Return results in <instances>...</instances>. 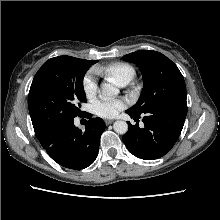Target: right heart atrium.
I'll return each instance as SVG.
<instances>
[{"instance_id":"1","label":"right heart atrium","mask_w":220,"mask_h":220,"mask_svg":"<svg viewBox=\"0 0 220 220\" xmlns=\"http://www.w3.org/2000/svg\"><path fill=\"white\" fill-rule=\"evenodd\" d=\"M82 87L86 98L92 99L95 97L98 87L93 75L88 74L84 77Z\"/></svg>"}]
</instances>
